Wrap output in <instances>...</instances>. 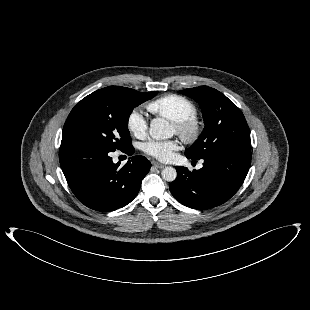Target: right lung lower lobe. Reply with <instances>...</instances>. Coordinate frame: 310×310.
I'll return each mask as SVG.
<instances>
[{"label": "right lung lower lobe", "instance_id": "1", "mask_svg": "<svg viewBox=\"0 0 310 310\" xmlns=\"http://www.w3.org/2000/svg\"><path fill=\"white\" fill-rule=\"evenodd\" d=\"M114 151L85 144L60 147L59 160L67 183L78 200L91 209L108 212L130 203L151 168L144 156H133L120 167L110 157ZM122 151L132 155L135 150L131 145Z\"/></svg>", "mask_w": 310, "mask_h": 310}]
</instances>
